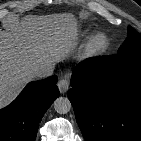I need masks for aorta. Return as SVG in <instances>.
Listing matches in <instances>:
<instances>
[{
  "instance_id": "1",
  "label": "aorta",
  "mask_w": 141,
  "mask_h": 141,
  "mask_svg": "<svg viewBox=\"0 0 141 141\" xmlns=\"http://www.w3.org/2000/svg\"><path fill=\"white\" fill-rule=\"evenodd\" d=\"M53 105H54L55 111L59 114H66L72 108L71 102L66 97H58L54 101Z\"/></svg>"
}]
</instances>
